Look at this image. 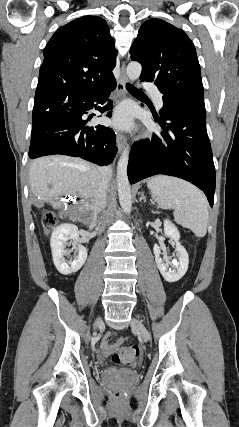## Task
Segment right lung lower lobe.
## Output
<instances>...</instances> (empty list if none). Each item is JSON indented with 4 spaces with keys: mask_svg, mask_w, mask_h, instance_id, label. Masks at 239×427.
I'll return each mask as SVG.
<instances>
[{
    "mask_svg": "<svg viewBox=\"0 0 239 427\" xmlns=\"http://www.w3.org/2000/svg\"><path fill=\"white\" fill-rule=\"evenodd\" d=\"M116 87L115 79L94 90H77L53 97V102L33 123L29 157L52 154L81 157L98 165H107L116 155V135L112 129L88 126L82 116L93 108L94 102L102 113L112 109L109 94ZM106 116H111L108 112Z\"/></svg>",
    "mask_w": 239,
    "mask_h": 427,
    "instance_id": "98d812e1",
    "label": "right lung lower lobe"
}]
</instances>
